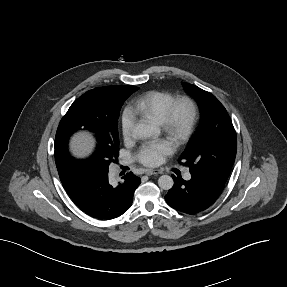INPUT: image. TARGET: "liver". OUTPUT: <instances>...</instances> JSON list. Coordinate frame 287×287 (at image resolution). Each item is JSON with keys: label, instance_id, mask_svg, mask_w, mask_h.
<instances>
[{"label": "liver", "instance_id": "6515ba94", "mask_svg": "<svg viewBox=\"0 0 287 287\" xmlns=\"http://www.w3.org/2000/svg\"><path fill=\"white\" fill-rule=\"evenodd\" d=\"M72 148L77 155H83L90 150L91 142L84 136H78L73 139Z\"/></svg>", "mask_w": 287, "mask_h": 287}]
</instances>
